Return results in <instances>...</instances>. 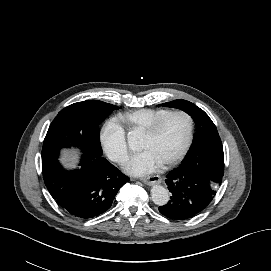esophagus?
I'll use <instances>...</instances> for the list:
<instances>
[{
	"label": "esophagus",
	"instance_id": "34e87169",
	"mask_svg": "<svg viewBox=\"0 0 271 271\" xmlns=\"http://www.w3.org/2000/svg\"><path fill=\"white\" fill-rule=\"evenodd\" d=\"M141 181L146 185H153L156 183H161L162 178L159 175H152L147 178H141Z\"/></svg>",
	"mask_w": 271,
	"mask_h": 271
}]
</instances>
